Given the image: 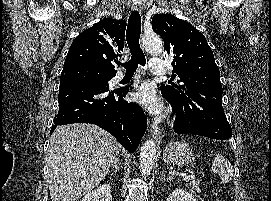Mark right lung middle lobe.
Returning <instances> with one entry per match:
<instances>
[{"instance_id": "right-lung-middle-lobe-1", "label": "right lung middle lobe", "mask_w": 271, "mask_h": 201, "mask_svg": "<svg viewBox=\"0 0 271 201\" xmlns=\"http://www.w3.org/2000/svg\"><path fill=\"white\" fill-rule=\"evenodd\" d=\"M115 75L101 74V73H90L82 75L80 78L90 81L98 82L102 86L109 87L108 81L111 80ZM62 78V77H61Z\"/></svg>"}]
</instances>
